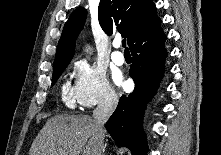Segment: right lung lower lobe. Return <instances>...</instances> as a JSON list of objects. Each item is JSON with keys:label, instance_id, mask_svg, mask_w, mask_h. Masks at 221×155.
Returning a JSON list of instances; mask_svg holds the SVG:
<instances>
[{"label": "right lung lower lobe", "instance_id": "1", "mask_svg": "<svg viewBox=\"0 0 221 155\" xmlns=\"http://www.w3.org/2000/svg\"><path fill=\"white\" fill-rule=\"evenodd\" d=\"M165 39L159 23L131 45L133 64L129 74L134 80L135 90L127 97L120 98L116 110L106 123V129L114 141L119 146L130 149L133 155L147 154L142 133V115L164 73L167 57Z\"/></svg>", "mask_w": 221, "mask_h": 155}]
</instances>
